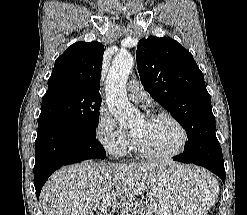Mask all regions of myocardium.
I'll list each match as a JSON object with an SVG mask.
<instances>
[{
	"label": "myocardium",
	"mask_w": 247,
	"mask_h": 215,
	"mask_svg": "<svg viewBox=\"0 0 247 215\" xmlns=\"http://www.w3.org/2000/svg\"><path fill=\"white\" fill-rule=\"evenodd\" d=\"M159 118H166V119L170 120L178 128V130L181 134V141H180L178 148L175 151H173L171 153H167V154H157V153L151 152L145 146L142 139L138 135L132 133V137H133L137 152L143 158L148 159V160H152V161H164V160L173 159V158L179 156L184 151V149L186 148L187 142H188V132H187L186 128L184 127L182 122L177 117H175L173 114H171L167 111H154L147 116L146 120L151 121V120H155V119H159Z\"/></svg>",
	"instance_id": "1"
}]
</instances>
